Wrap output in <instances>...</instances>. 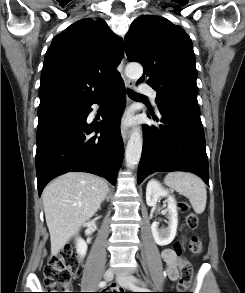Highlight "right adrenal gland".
I'll list each match as a JSON object with an SVG mask.
<instances>
[{"instance_id": "1", "label": "right adrenal gland", "mask_w": 245, "mask_h": 293, "mask_svg": "<svg viewBox=\"0 0 245 293\" xmlns=\"http://www.w3.org/2000/svg\"><path fill=\"white\" fill-rule=\"evenodd\" d=\"M105 199H106V201H109V199H110V191L108 192V194H107Z\"/></svg>"}]
</instances>
